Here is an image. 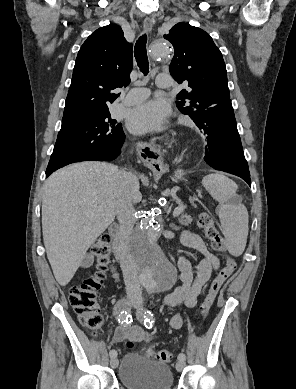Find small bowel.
I'll use <instances>...</instances> for the list:
<instances>
[{
    "mask_svg": "<svg viewBox=\"0 0 296 389\" xmlns=\"http://www.w3.org/2000/svg\"><path fill=\"white\" fill-rule=\"evenodd\" d=\"M182 243L187 248L195 250L201 256V259L197 265L196 274H194L192 265L187 258L181 256L178 259L181 285L167 294L163 299V303L168 307L182 305L186 308H194L198 303L204 287L210 281L213 273L218 269L219 260L207 250L203 240L197 234L189 231L184 232L182 234ZM92 263L93 256L87 254L81 262V267L88 268ZM111 271L113 278L117 281L119 274L114 268H111ZM182 322V316L179 313L173 314L170 318V325L175 329L180 328ZM124 339L142 342L149 340L150 334L138 325L127 323L116 329L113 342H121Z\"/></svg>",
    "mask_w": 296,
    "mask_h": 389,
    "instance_id": "c3829d8e",
    "label": "small bowel"
}]
</instances>
